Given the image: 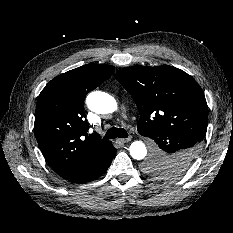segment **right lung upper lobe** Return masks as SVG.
I'll list each match as a JSON object with an SVG mask.
<instances>
[{
    "label": "right lung upper lobe",
    "mask_w": 233,
    "mask_h": 233,
    "mask_svg": "<svg viewBox=\"0 0 233 233\" xmlns=\"http://www.w3.org/2000/svg\"><path fill=\"white\" fill-rule=\"evenodd\" d=\"M113 71L111 65H83L52 79L38 97L36 139L44 158L61 177L102 156L111 145L110 141L88 135L84 99Z\"/></svg>",
    "instance_id": "1"
}]
</instances>
